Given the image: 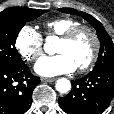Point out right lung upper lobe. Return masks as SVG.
I'll list each match as a JSON object with an SVG mask.
<instances>
[{
	"mask_svg": "<svg viewBox=\"0 0 114 114\" xmlns=\"http://www.w3.org/2000/svg\"><path fill=\"white\" fill-rule=\"evenodd\" d=\"M9 10H22V9H25L24 7H11V8H8Z\"/></svg>",
	"mask_w": 114,
	"mask_h": 114,
	"instance_id": "right-lung-upper-lobe-1",
	"label": "right lung upper lobe"
}]
</instances>
